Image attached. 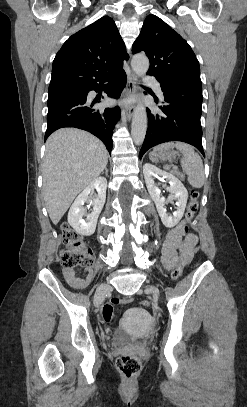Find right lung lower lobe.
<instances>
[{
  "label": "right lung lower lobe",
  "mask_w": 247,
  "mask_h": 407,
  "mask_svg": "<svg viewBox=\"0 0 247 407\" xmlns=\"http://www.w3.org/2000/svg\"><path fill=\"white\" fill-rule=\"evenodd\" d=\"M105 82H108L107 95L111 98H119L126 85V74L122 68H118L104 77L94 80L86 87L87 94L90 90L99 91L100 86ZM87 94L64 98L48 104L45 140L59 128L76 127L97 136L111 153L112 134L114 126L120 118V108L92 109L96 101L91 102L87 98Z\"/></svg>",
  "instance_id": "98d812e1"
}]
</instances>
